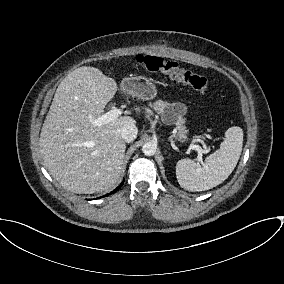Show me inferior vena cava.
I'll return each instance as SVG.
<instances>
[{"label": "inferior vena cava", "mask_w": 284, "mask_h": 284, "mask_svg": "<svg viewBox=\"0 0 284 284\" xmlns=\"http://www.w3.org/2000/svg\"><path fill=\"white\" fill-rule=\"evenodd\" d=\"M137 133L138 129L135 124L132 123L125 124L121 129V137L127 143L132 142L136 138Z\"/></svg>", "instance_id": "602c4592"}]
</instances>
